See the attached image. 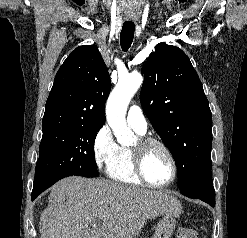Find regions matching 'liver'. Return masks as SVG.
<instances>
[{
	"mask_svg": "<svg viewBox=\"0 0 247 238\" xmlns=\"http://www.w3.org/2000/svg\"><path fill=\"white\" fill-rule=\"evenodd\" d=\"M181 209L162 191L72 176L51 188L40 238H132L148 219L177 216Z\"/></svg>",
	"mask_w": 247,
	"mask_h": 238,
	"instance_id": "6515ba94",
	"label": "liver"
}]
</instances>
